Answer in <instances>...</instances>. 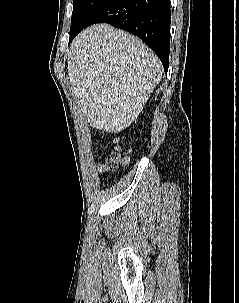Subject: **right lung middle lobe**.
I'll return each mask as SVG.
<instances>
[{
  "instance_id": "obj_1",
  "label": "right lung middle lobe",
  "mask_w": 239,
  "mask_h": 303,
  "mask_svg": "<svg viewBox=\"0 0 239 303\" xmlns=\"http://www.w3.org/2000/svg\"><path fill=\"white\" fill-rule=\"evenodd\" d=\"M104 2L105 0H74L70 37L84 28L92 13Z\"/></svg>"
}]
</instances>
